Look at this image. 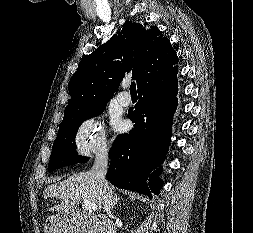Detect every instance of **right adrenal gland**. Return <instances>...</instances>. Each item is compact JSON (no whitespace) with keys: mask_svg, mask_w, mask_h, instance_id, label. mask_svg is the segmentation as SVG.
<instances>
[{"mask_svg":"<svg viewBox=\"0 0 253 233\" xmlns=\"http://www.w3.org/2000/svg\"><path fill=\"white\" fill-rule=\"evenodd\" d=\"M120 200V198L115 194L114 195V199H113V203H112V207L111 210H113L115 208V205L118 204V201Z\"/></svg>","mask_w":253,"mask_h":233,"instance_id":"1","label":"right adrenal gland"}]
</instances>
